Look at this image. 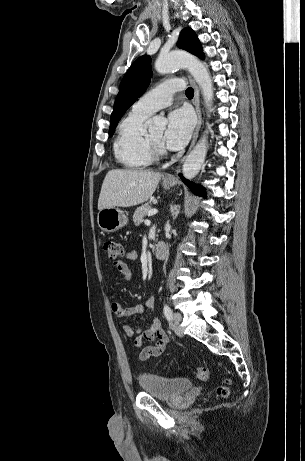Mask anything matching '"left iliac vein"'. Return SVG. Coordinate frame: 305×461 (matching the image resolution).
Returning <instances> with one entry per match:
<instances>
[{"instance_id": "4c4485c4", "label": "left iliac vein", "mask_w": 305, "mask_h": 461, "mask_svg": "<svg viewBox=\"0 0 305 461\" xmlns=\"http://www.w3.org/2000/svg\"><path fill=\"white\" fill-rule=\"evenodd\" d=\"M181 321L182 315L180 313H174L171 327L178 336H183V329L180 326Z\"/></svg>"}]
</instances>
